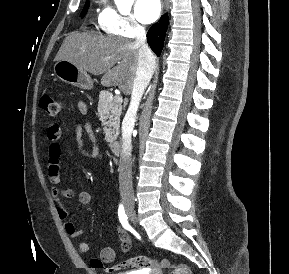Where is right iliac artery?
Returning <instances> with one entry per match:
<instances>
[{
    "label": "right iliac artery",
    "instance_id": "82829eb1",
    "mask_svg": "<svg viewBox=\"0 0 289 274\" xmlns=\"http://www.w3.org/2000/svg\"><path fill=\"white\" fill-rule=\"evenodd\" d=\"M118 217H119V220H120V223L122 224V226L126 229V230H129L130 229V225L128 223V217L125 213V209H124V206L123 204H120L119 205V208H118Z\"/></svg>",
    "mask_w": 289,
    "mask_h": 274
}]
</instances>
